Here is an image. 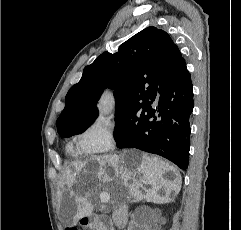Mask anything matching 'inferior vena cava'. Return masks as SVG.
Masks as SVG:
<instances>
[{
  "label": "inferior vena cava",
  "instance_id": "obj_1",
  "mask_svg": "<svg viewBox=\"0 0 241 230\" xmlns=\"http://www.w3.org/2000/svg\"><path fill=\"white\" fill-rule=\"evenodd\" d=\"M114 224L117 227H123L128 221V206L126 204L119 206L112 215Z\"/></svg>",
  "mask_w": 241,
  "mask_h": 230
}]
</instances>
